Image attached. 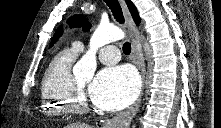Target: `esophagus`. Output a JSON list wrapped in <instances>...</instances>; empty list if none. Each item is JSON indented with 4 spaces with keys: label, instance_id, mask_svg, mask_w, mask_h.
<instances>
[{
    "label": "esophagus",
    "instance_id": "1",
    "mask_svg": "<svg viewBox=\"0 0 221 128\" xmlns=\"http://www.w3.org/2000/svg\"><path fill=\"white\" fill-rule=\"evenodd\" d=\"M119 2L122 7L128 32L132 39V60L138 66V69L142 76L143 85L141 94L137 101L127 110L120 112L116 114L112 119L106 120L105 122L101 123L99 126L102 128H126L131 123L133 117L140 107L146 81V69L140 41V32L131 17L125 1L119 0Z\"/></svg>",
    "mask_w": 221,
    "mask_h": 128
}]
</instances>
